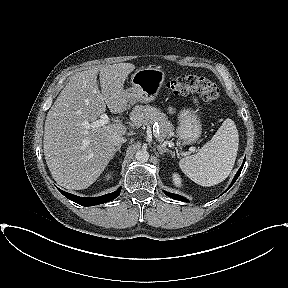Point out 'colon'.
<instances>
[{"label":"colon","mask_w":288,"mask_h":288,"mask_svg":"<svg viewBox=\"0 0 288 288\" xmlns=\"http://www.w3.org/2000/svg\"><path fill=\"white\" fill-rule=\"evenodd\" d=\"M166 88L173 95L199 93L207 101H215L220 96L219 87L214 82L195 74L179 76L169 81Z\"/></svg>","instance_id":"5ec220e1"}]
</instances>
